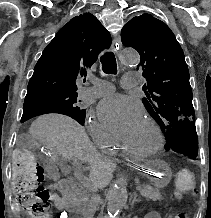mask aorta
<instances>
[{"label":"aorta","mask_w":211,"mask_h":218,"mask_svg":"<svg viewBox=\"0 0 211 218\" xmlns=\"http://www.w3.org/2000/svg\"><path fill=\"white\" fill-rule=\"evenodd\" d=\"M120 59L125 64L137 65L140 61L139 54L134 50H125L122 52ZM127 181L124 176H120L115 185L112 187L107 203L109 215H117L122 211L127 201Z\"/></svg>","instance_id":"762f6f07"}]
</instances>
